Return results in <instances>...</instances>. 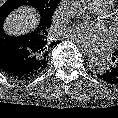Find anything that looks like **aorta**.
<instances>
[{"instance_id":"aorta-1","label":"aorta","mask_w":118,"mask_h":118,"mask_svg":"<svg viewBox=\"0 0 118 118\" xmlns=\"http://www.w3.org/2000/svg\"><path fill=\"white\" fill-rule=\"evenodd\" d=\"M64 11L72 18L84 19L87 17V6L85 0H65ZM90 70L93 73H103L107 69V65L104 59L94 58L89 62Z\"/></svg>"}]
</instances>
